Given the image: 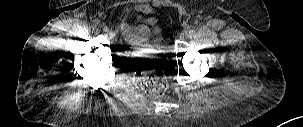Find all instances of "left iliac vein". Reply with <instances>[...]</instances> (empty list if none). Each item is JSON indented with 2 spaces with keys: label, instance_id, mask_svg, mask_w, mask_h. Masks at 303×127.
<instances>
[{
  "label": "left iliac vein",
  "instance_id": "obj_1",
  "mask_svg": "<svg viewBox=\"0 0 303 127\" xmlns=\"http://www.w3.org/2000/svg\"><path fill=\"white\" fill-rule=\"evenodd\" d=\"M186 35H187V34H186V32H185V31H183V32H181V34H180V38H182V39H183V38H185V37H186Z\"/></svg>",
  "mask_w": 303,
  "mask_h": 127
}]
</instances>
